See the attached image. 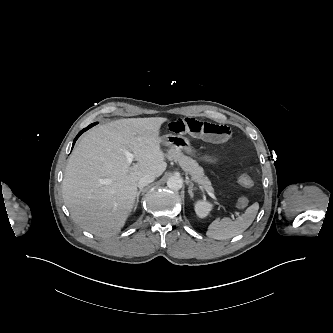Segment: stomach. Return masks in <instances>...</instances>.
<instances>
[{"label":"stomach","instance_id":"0dacf381","mask_svg":"<svg viewBox=\"0 0 333 333\" xmlns=\"http://www.w3.org/2000/svg\"><path fill=\"white\" fill-rule=\"evenodd\" d=\"M162 143L169 148H174L180 151H184L188 154L193 153V149L191 147L189 140L181 135L167 134L162 137ZM209 161L216 163L219 161V159L213 157L210 158Z\"/></svg>","mask_w":333,"mask_h":333}]
</instances>
